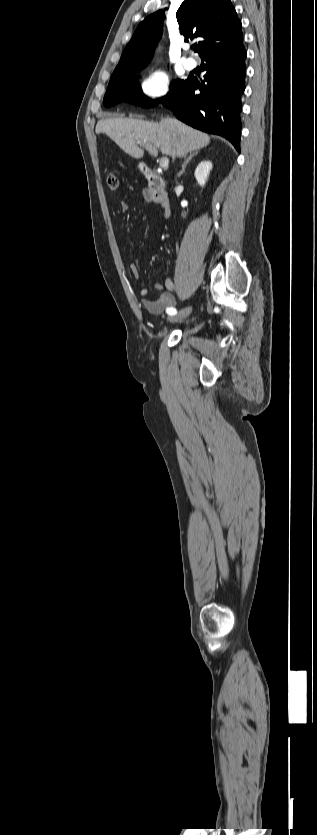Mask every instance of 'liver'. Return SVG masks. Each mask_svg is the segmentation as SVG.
Here are the masks:
<instances>
[{
    "mask_svg": "<svg viewBox=\"0 0 317 835\" xmlns=\"http://www.w3.org/2000/svg\"><path fill=\"white\" fill-rule=\"evenodd\" d=\"M95 132L104 133L125 153L142 158V142L154 145L163 154L182 158L210 143L208 134L196 130L174 118L161 117L160 122H148L135 118L115 117L98 121Z\"/></svg>",
    "mask_w": 317,
    "mask_h": 835,
    "instance_id": "liver-1",
    "label": "liver"
}]
</instances>
